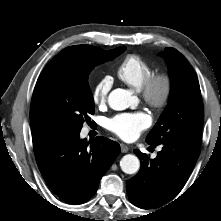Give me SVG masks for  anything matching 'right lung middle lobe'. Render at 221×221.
Segmentation results:
<instances>
[{
  "label": "right lung middle lobe",
  "instance_id": "1",
  "mask_svg": "<svg viewBox=\"0 0 221 221\" xmlns=\"http://www.w3.org/2000/svg\"><path fill=\"white\" fill-rule=\"evenodd\" d=\"M126 47L105 51L91 45L63 49L44 68L34 88L30 124L32 134L47 130L81 131L94 114L88 86L92 69L116 58Z\"/></svg>",
  "mask_w": 221,
  "mask_h": 221
}]
</instances>
